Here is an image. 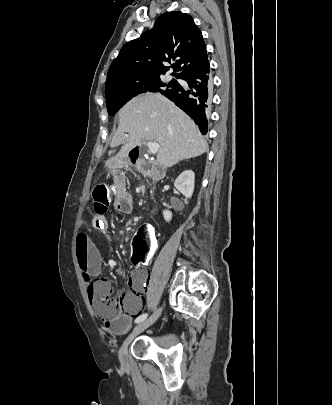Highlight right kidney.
<instances>
[{
	"label": "right kidney",
	"instance_id": "right-kidney-1",
	"mask_svg": "<svg viewBox=\"0 0 332 405\" xmlns=\"http://www.w3.org/2000/svg\"><path fill=\"white\" fill-rule=\"evenodd\" d=\"M195 174L192 170L182 172L174 182V187L181 192L187 199L191 198L194 192ZM163 217L166 222L172 219V212L163 211Z\"/></svg>",
	"mask_w": 332,
	"mask_h": 405
}]
</instances>
